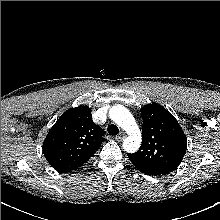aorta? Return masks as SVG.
Instances as JSON below:
<instances>
[{"mask_svg":"<svg viewBox=\"0 0 220 220\" xmlns=\"http://www.w3.org/2000/svg\"><path fill=\"white\" fill-rule=\"evenodd\" d=\"M110 118L128 134L123 141V149L128 153L136 152L141 145V133L130 111L121 105L113 106Z\"/></svg>","mask_w":220,"mask_h":220,"instance_id":"obj_1","label":"aorta"}]
</instances>
